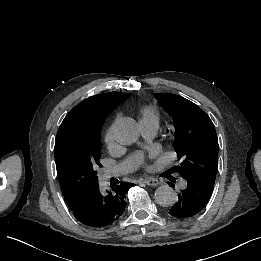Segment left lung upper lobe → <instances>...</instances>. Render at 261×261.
<instances>
[{
    "mask_svg": "<svg viewBox=\"0 0 261 261\" xmlns=\"http://www.w3.org/2000/svg\"><path fill=\"white\" fill-rule=\"evenodd\" d=\"M175 126L174 148L183 158L176 171L194 174L215 183L218 167V139L209 116L193 102L174 94H155Z\"/></svg>",
    "mask_w": 261,
    "mask_h": 261,
    "instance_id": "5c2ea615",
    "label": "left lung upper lobe"
}]
</instances>
